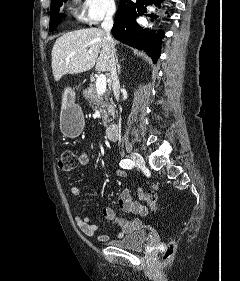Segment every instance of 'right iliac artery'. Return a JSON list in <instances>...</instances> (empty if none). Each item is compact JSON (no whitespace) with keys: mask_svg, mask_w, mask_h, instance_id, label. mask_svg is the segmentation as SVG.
<instances>
[{"mask_svg":"<svg viewBox=\"0 0 240 281\" xmlns=\"http://www.w3.org/2000/svg\"><path fill=\"white\" fill-rule=\"evenodd\" d=\"M119 164L120 167L124 169H132L134 167V162L130 159H123Z\"/></svg>","mask_w":240,"mask_h":281,"instance_id":"obj_1","label":"right iliac artery"}]
</instances>
